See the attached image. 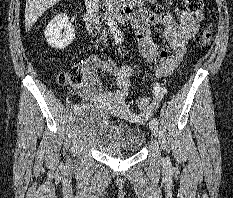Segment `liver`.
<instances>
[{
  "label": "liver",
  "instance_id": "obj_1",
  "mask_svg": "<svg viewBox=\"0 0 233 198\" xmlns=\"http://www.w3.org/2000/svg\"><path fill=\"white\" fill-rule=\"evenodd\" d=\"M61 0H26L25 6V30L30 31L39 17Z\"/></svg>",
  "mask_w": 233,
  "mask_h": 198
}]
</instances>
